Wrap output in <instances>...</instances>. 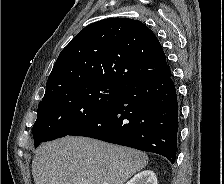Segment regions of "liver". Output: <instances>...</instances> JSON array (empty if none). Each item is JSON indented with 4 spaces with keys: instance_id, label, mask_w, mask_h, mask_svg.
I'll use <instances>...</instances> for the list:
<instances>
[{
    "instance_id": "6515ba94",
    "label": "liver",
    "mask_w": 224,
    "mask_h": 184,
    "mask_svg": "<svg viewBox=\"0 0 224 184\" xmlns=\"http://www.w3.org/2000/svg\"><path fill=\"white\" fill-rule=\"evenodd\" d=\"M147 164L141 151L66 136L37 149L32 173L35 184H124Z\"/></svg>"
}]
</instances>
